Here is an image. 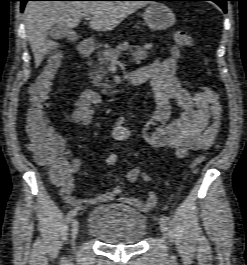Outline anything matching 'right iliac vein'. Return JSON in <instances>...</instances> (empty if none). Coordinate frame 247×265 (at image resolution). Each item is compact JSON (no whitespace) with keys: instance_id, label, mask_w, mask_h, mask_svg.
<instances>
[{"instance_id":"obj_1","label":"right iliac vein","mask_w":247,"mask_h":265,"mask_svg":"<svg viewBox=\"0 0 247 265\" xmlns=\"http://www.w3.org/2000/svg\"><path fill=\"white\" fill-rule=\"evenodd\" d=\"M78 231H79V222L77 220H73V222L71 224V237H72L73 241H74Z\"/></svg>"}]
</instances>
